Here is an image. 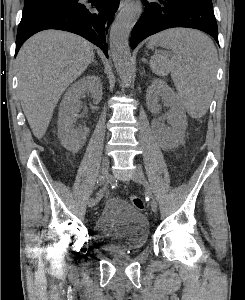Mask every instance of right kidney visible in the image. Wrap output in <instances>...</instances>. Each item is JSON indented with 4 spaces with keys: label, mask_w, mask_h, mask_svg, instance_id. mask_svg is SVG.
Masks as SVG:
<instances>
[{
    "label": "right kidney",
    "mask_w": 245,
    "mask_h": 300,
    "mask_svg": "<svg viewBox=\"0 0 245 300\" xmlns=\"http://www.w3.org/2000/svg\"><path fill=\"white\" fill-rule=\"evenodd\" d=\"M90 94L93 103L98 104L102 98V84L97 76H87L75 82L65 93L59 108L58 137L65 148L78 151L86 141L89 128L75 125V112L80 106V99Z\"/></svg>",
    "instance_id": "1"
}]
</instances>
